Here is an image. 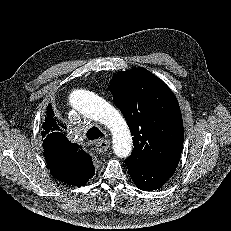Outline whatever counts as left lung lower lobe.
Masks as SVG:
<instances>
[{
	"label": "left lung lower lobe",
	"instance_id": "obj_1",
	"mask_svg": "<svg viewBox=\"0 0 231 231\" xmlns=\"http://www.w3.org/2000/svg\"><path fill=\"white\" fill-rule=\"evenodd\" d=\"M130 176L136 186L144 191L155 190L174 174L177 166L160 167L151 164H131L126 161Z\"/></svg>",
	"mask_w": 231,
	"mask_h": 231
}]
</instances>
